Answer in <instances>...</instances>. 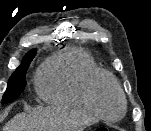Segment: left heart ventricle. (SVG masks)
Segmentation results:
<instances>
[{
	"instance_id": "b2bd125f",
	"label": "left heart ventricle",
	"mask_w": 151,
	"mask_h": 131,
	"mask_svg": "<svg viewBox=\"0 0 151 131\" xmlns=\"http://www.w3.org/2000/svg\"><path fill=\"white\" fill-rule=\"evenodd\" d=\"M99 104L104 113L110 117L118 116L121 111V100L114 88L108 84L100 91Z\"/></svg>"
}]
</instances>
